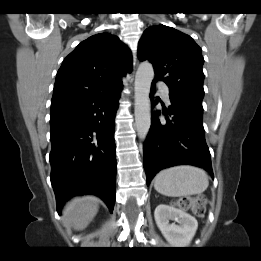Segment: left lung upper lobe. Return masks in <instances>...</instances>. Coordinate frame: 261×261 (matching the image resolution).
Returning <instances> with one entry per match:
<instances>
[{"instance_id": "5c2ea615", "label": "left lung upper lobe", "mask_w": 261, "mask_h": 261, "mask_svg": "<svg viewBox=\"0 0 261 261\" xmlns=\"http://www.w3.org/2000/svg\"><path fill=\"white\" fill-rule=\"evenodd\" d=\"M138 58L153 64L155 81H164L171 94H182L202 103L204 58L187 34L172 27L147 28L138 45Z\"/></svg>"}]
</instances>
